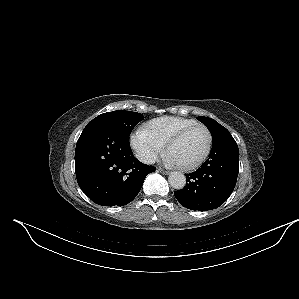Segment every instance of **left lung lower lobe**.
<instances>
[{
	"instance_id": "left-lung-lower-lobe-1",
	"label": "left lung lower lobe",
	"mask_w": 299,
	"mask_h": 299,
	"mask_svg": "<svg viewBox=\"0 0 299 299\" xmlns=\"http://www.w3.org/2000/svg\"><path fill=\"white\" fill-rule=\"evenodd\" d=\"M209 158L187 174L186 186L174 192L179 203L191 210L207 211L221 206L233 192L239 172V149L229 132L213 138Z\"/></svg>"
}]
</instances>
